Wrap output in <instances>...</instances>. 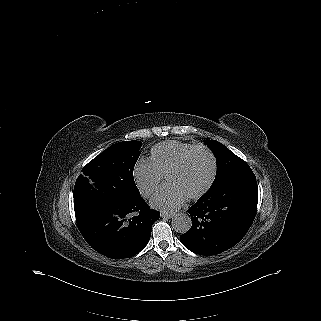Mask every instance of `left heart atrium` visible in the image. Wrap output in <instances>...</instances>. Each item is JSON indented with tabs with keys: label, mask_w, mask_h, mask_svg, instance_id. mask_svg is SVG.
Segmentation results:
<instances>
[{
	"label": "left heart atrium",
	"mask_w": 321,
	"mask_h": 321,
	"mask_svg": "<svg viewBox=\"0 0 321 321\" xmlns=\"http://www.w3.org/2000/svg\"><path fill=\"white\" fill-rule=\"evenodd\" d=\"M184 194L180 191L163 190L152 199V205L162 211L178 209L184 202Z\"/></svg>",
	"instance_id": "1"
}]
</instances>
